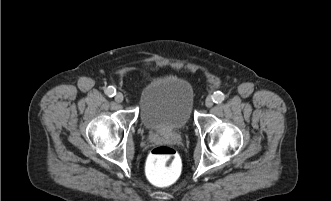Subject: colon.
I'll use <instances>...</instances> for the list:
<instances>
[{
  "instance_id": "1",
  "label": "colon",
  "mask_w": 331,
  "mask_h": 201,
  "mask_svg": "<svg viewBox=\"0 0 331 201\" xmlns=\"http://www.w3.org/2000/svg\"><path fill=\"white\" fill-rule=\"evenodd\" d=\"M182 163L178 152L166 145L154 147L146 162L148 179L159 187H166L177 181Z\"/></svg>"
}]
</instances>
